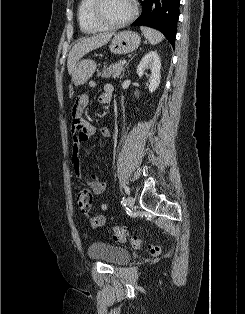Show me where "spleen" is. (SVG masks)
I'll return each instance as SVG.
<instances>
[{"label": "spleen", "mask_w": 245, "mask_h": 314, "mask_svg": "<svg viewBox=\"0 0 245 314\" xmlns=\"http://www.w3.org/2000/svg\"><path fill=\"white\" fill-rule=\"evenodd\" d=\"M140 30L142 31V33L144 34L145 38L152 44H158L160 43L163 39L164 36L161 32L152 29L150 27H146V26H141Z\"/></svg>", "instance_id": "obj_1"}]
</instances>
